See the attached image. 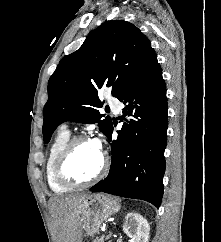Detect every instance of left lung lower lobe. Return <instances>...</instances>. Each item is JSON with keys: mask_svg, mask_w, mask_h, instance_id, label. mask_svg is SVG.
<instances>
[{"mask_svg": "<svg viewBox=\"0 0 221 242\" xmlns=\"http://www.w3.org/2000/svg\"><path fill=\"white\" fill-rule=\"evenodd\" d=\"M119 100L125 104L121 119L126 122L111 144L108 176L90 191L142 199L159 208L168 127L166 86L160 65ZM112 132L113 126L107 134L110 141Z\"/></svg>", "mask_w": 221, "mask_h": 242, "instance_id": "1", "label": "left lung lower lobe"}]
</instances>
